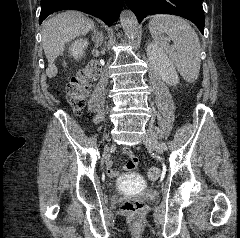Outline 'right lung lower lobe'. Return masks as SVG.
<instances>
[{"instance_id":"98d812e1","label":"right lung lower lobe","mask_w":240,"mask_h":238,"mask_svg":"<svg viewBox=\"0 0 240 238\" xmlns=\"http://www.w3.org/2000/svg\"><path fill=\"white\" fill-rule=\"evenodd\" d=\"M68 9L91 14L110 26L120 15L122 0H41L39 23L54 12Z\"/></svg>"}]
</instances>
